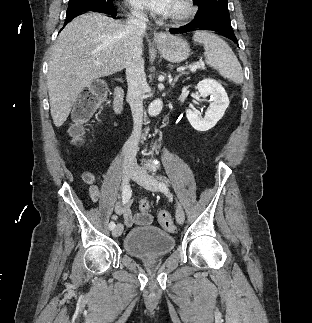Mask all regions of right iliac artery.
<instances>
[{
    "label": "right iliac artery",
    "instance_id": "obj_1",
    "mask_svg": "<svg viewBox=\"0 0 312 323\" xmlns=\"http://www.w3.org/2000/svg\"><path fill=\"white\" fill-rule=\"evenodd\" d=\"M131 188L130 186H124L123 190H122V202L125 204L129 201L130 197H131ZM115 228V223L114 222H110L109 224V229L113 230Z\"/></svg>",
    "mask_w": 312,
    "mask_h": 323
}]
</instances>
